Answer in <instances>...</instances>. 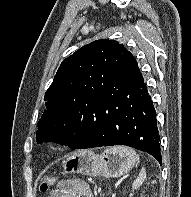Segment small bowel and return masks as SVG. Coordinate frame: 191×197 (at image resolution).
I'll list each match as a JSON object with an SVG mask.
<instances>
[{
    "mask_svg": "<svg viewBox=\"0 0 191 197\" xmlns=\"http://www.w3.org/2000/svg\"><path fill=\"white\" fill-rule=\"evenodd\" d=\"M49 197H93L85 184L68 182L51 192Z\"/></svg>",
    "mask_w": 191,
    "mask_h": 197,
    "instance_id": "1",
    "label": "small bowel"
}]
</instances>
